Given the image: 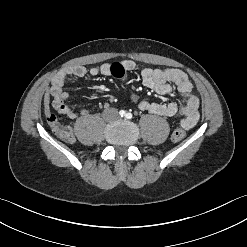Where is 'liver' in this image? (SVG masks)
<instances>
[{
  "label": "liver",
  "mask_w": 247,
  "mask_h": 247,
  "mask_svg": "<svg viewBox=\"0 0 247 247\" xmlns=\"http://www.w3.org/2000/svg\"><path fill=\"white\" fill-rule=\"evenodd\" d=\"M49 92H46L44 96V106H45V115L48 116L50 113V107H49Z\"/></svg>",
  "instance_id": "liver-1"
}]
</instances>
